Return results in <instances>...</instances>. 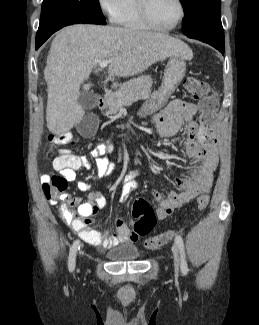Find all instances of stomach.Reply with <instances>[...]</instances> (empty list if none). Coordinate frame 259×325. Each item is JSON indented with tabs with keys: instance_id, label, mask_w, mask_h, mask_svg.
Listing matches in <instances>:
<instances>
[{
	"instance_id": "1",
	"label": "stomach",
	"mask_w": 259,
	"mask_h": 325,
	"mask_svg": "<svg viewBox=\"0 0 259 325\" xmlns=\"http://www.w3.org/2000/svg\"><path fill=\"white\" fill-rule=\"evenodd\" d=\"M186 71V63L183 58L172 56L165 68L164 77L160 89L154 92L142 107L143 115H150L161 109L170 95L182 81Z\"/></svg>"
}]
</instances>
